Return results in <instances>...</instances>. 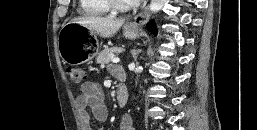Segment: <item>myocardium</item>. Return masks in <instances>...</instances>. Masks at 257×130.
I'll use <instances>...</instances> for the list:
<instances>
[{"label":"myocardium","instance_id":"f54148a6","mask_svg":"<svg viewBox=\"0 0 257 130\" xmlns=\"http://www.w3.org/2000/svg\"><path fill=\"white\" fill-rule=\"evenodd\" d=\"M107 7L112 11L127 12L135 9L138 3L123 4L119 0H103Z\"/></svg>","mask_w":257,"mask_h":130}]
</instances>
